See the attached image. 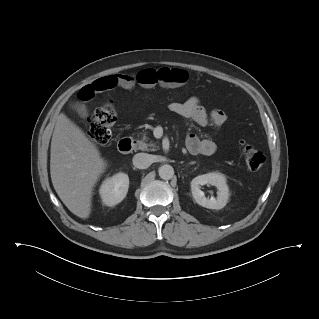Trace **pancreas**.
I'll return each mask as SVG.
<instances>
[{
	"instance_id": "cf45deb5",
	"label": "pancreas",
	"mask_w": 319,
	"mask_h": 319,
	"mask_svg": "<svg viewBox=\"0 0 319 319\" xmlns=\"http://www.w3.org/2000/svg\"><path fill=\"white\" fill-rule=\"evenodd\" d=\"M138 149L142 151H156L159 149V146L156 143L150 141L147 133L145 132L141 138V140L137 141Z\"/></svg>"
}]
</instances>
